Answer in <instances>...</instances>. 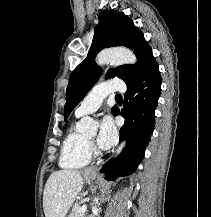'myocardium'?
Here are the masks:
<instances>
[{
  "label": "myocardium",
  "mask_w": 211,
  "mask_h": 217,
  "mask_svg": "<svg viewBox=\"0 0 211 217\" xmlns=\"http://www.w3.org/2000/svg\"><path fill=\"white\" fill-rule=\"evenodd\" d=\"M90 152L95 156L99 155V151L94 147L93 142L90 139H87Z\"/></svg>",
  "instance_id": "1"
}]
</instances>
